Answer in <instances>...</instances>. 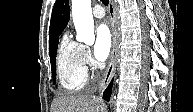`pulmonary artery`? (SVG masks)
<instances>
[{"label":"pulmonary artery","mask_w":193,"mask_h":112,"mask_svg":"<svg viewBox=\"0 0 193 112\" xmlns=\"http://www.w3.org/2000/svg\"><path fill=\"white\" fill-rule=\"evenodd\" d=\"M92 14L95 18L101 19L104 17L105 12H104V9L100 5H96L94 6L92 10Z\"/></svg>","instance_id":"obj_1"}]
</instances>
